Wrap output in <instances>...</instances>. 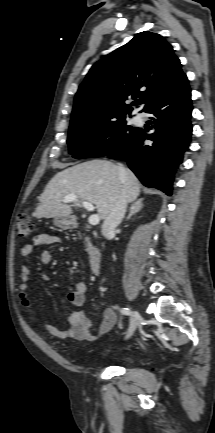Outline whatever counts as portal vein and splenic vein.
I'll list each match as a JSON object with an SVG mask.
<instances>
[{"label":"portal vein and splenic vein","instance_id":"portal-vein-and-splenic-vein-1","mask_svg":"<svg viewBox=\"0 0 215 433\" xmlns=\"http://www.w3.org/2000/svg\"><path fill=\"white\" fill-rule=\"evenodd\" d=\"M77 200H78L77 196L74 194H71V195L65 196L63 199V202L64 203H71V202H76ZM82 205L88 211H93L95 209L93 204H91L90 202H87V201H82ZM99 221H100V217L98 214H92L88 219V222L91 225H97V224H99Z\"/></svg>","mask_w":215,"mask_h":433}]
</instances>
